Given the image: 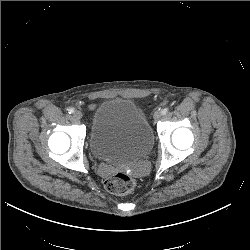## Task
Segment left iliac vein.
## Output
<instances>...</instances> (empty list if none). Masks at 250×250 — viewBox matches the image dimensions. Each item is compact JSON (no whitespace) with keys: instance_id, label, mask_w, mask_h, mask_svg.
I'll return each mask as SVG.
<instances>
[{"instance_id":"4c4485c4","label":"left iliac vein","mask_w":250,"mask_h":250,"mask_svg":"<svg viewBox=\"0 0 250 250\" xmlns=\"http://www.w3.org/2000/svg\"><path fill=\"white\" fill-rule=\"evenodd\" d=\"M162 116V112L160 110H157L154 112L153 117L155 120H159Z\"/></svg>"}]
</instances>
